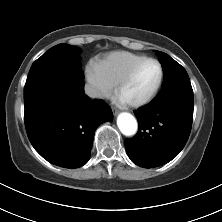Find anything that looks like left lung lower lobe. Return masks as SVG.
<instances>
[{"label":"left lung lower lobe","mask_w":222,"mask_h":222,"mask_svg":"<svg viewBox=\"0 0 222 222\" xmlns=\"http://www.w3.org/2000/svg\"><path fill=\"white\" fill-rule=\"evenodd\" d=\"M194 98L191 86L171 87L134 112L137 134L124 141L129 158L144 168L168 163L184 148L190 135Z\"/></svg>","instance_id":"0a47b994"}]
</instances>
